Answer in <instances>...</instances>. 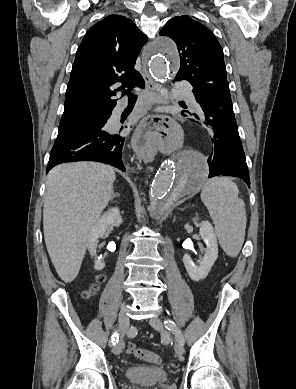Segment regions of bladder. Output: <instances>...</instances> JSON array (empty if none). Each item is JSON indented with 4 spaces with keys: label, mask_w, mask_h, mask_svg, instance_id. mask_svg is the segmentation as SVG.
<instances>
[{
    "label": "bladder",
    "mask_w": 296,
    "mask_h": 389,
    "mask_svg": "<svg viewBox=\"0 0 296 389\" xmlns=\"http://www.w3.org/2000/svg\"><path fill=\"white\" fill-rule=\"evenodd\" d=\"M125 378L138 385L152 386L168 379V373L161 367L132 365L125 369Z\"/></svg>",
    "instance_id": "bladder-1"
}]
</instances>
